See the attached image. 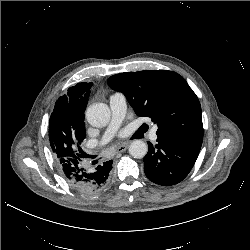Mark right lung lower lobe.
<instances>
[{"label": "right lung lower lobe", "mask_w": 250, "mask_h": 250, "mask_svg": "<svg viewBox=\"0 0 250 250\" xmlns=\"http://www.w3.org/2000/svg\"><path fill=\"white\" fill-rule=\"evenodd\" d=\"M58 169L63 178L76 190L85 195L97 193L109 182L112 161L104 162L93 169L82 166L81 159L58 160Z\"/></svg>", "instance_id": "right-lung-lower-lobe-1"}]
</instances>
